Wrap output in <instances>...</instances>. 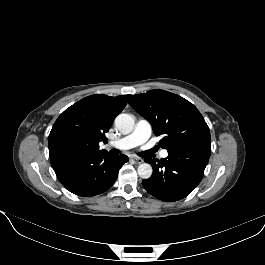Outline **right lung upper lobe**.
I'll list each match as a JSON object with an SVG mask.
<instances>
[{"instance_id":"cb5924a9","label":"right lung upper lobe","mask_w":265,"mask_h":265,"mask_svg":"<svg viewBox=\"0 0 265 265\" xmlns=\"http://www.w3.org/2000/svg\"><path fill=\"white\" fill-rule=\"evenodd\" d=\"M131 95L111 97L95 94L67 108L49 134L50 160L68 155L104 152L99 142Z\"/></svg>"}]
</instances>
